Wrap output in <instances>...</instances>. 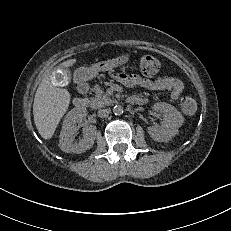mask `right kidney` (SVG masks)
<instances>
[{
  "label": "right kidney",
  "mask_w": 231,
  "mask_h": 231,
  "mask_svg": "<svg viewBox=\"0 0 231 231\" xmlns=\"http://www.w3.org/2000/svg\"><path fill=\"white\" fill-rule=\"evenodd\" d=\"M86 112L79 109H72L65 116L62 131L60 133L59 147L66 153H83L90 149L95 140L96 126L90 125L83 129V138L78 143H73L72 134L76 131V124L83 121Z\"/></svg>",
  "instance_id": "ca27d5eb"
}]
</instances>
